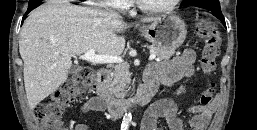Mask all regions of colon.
<instances>
[{"label":"colon","mask_w":257,"mask_h":130,"mask_svg":"<svg viewBox=\"0 0 257 130\" xmlns=\"http://www.w3.org/2000/svg\"><path fill=\"white\" fill-rule=\"evenodd\" d=\"M197 30L205 38L200 58L201 70L205 74H212L216 70V57L221 45L220 32L203 18L198 19ZM95 87V72L90 68L81 69L55 92L50 101L34 109L35 120L42 130H69L62 122L65 111L80 97L93 91ZM214 92L215 84H208L200 96L202 106H209L212 103Z\"/></svg>","instance_id":"obj_1"}]
</instances>
